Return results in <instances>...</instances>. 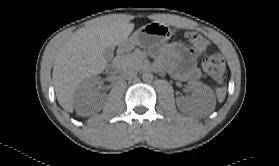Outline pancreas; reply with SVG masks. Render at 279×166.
<instances>
[{
	"instance_id": "obj_1",
	"label": "pancreas",
	"mask_w": 279,
	"mask_h": 166,
	"mask_svg": "<svg viewBox=\"0 0 279 166\" xmlns=\"http://www.w3.org/2000/svg\"><path fill=\"white\" fill-rule=\"evenodd\" d=\"M121 69H140L143 66V61L138 52H133L119 57Z\"/></svg>"
}]
</instances>
